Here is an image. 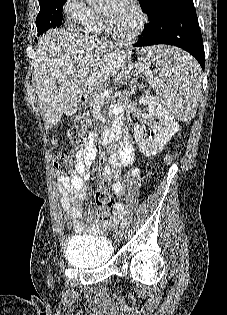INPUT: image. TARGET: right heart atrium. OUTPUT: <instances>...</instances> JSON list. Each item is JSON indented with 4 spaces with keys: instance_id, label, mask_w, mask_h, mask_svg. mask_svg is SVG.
<instances>
[{
    "instance_id": "right-heart-atrium-1",
    "label": "right heart atrium",
    "mask_w": 227,
    "mask_h": 315,
    "mask_svg": "<svg viewBox=\"0 0 227 315\" xmlns=\"http://www.w3.org/2000/svg\"><path fill=\"white\" fill-rule=\"evenodd\" d=\"M62 11L70 25L78 26L84 24L92 14V9L83 0H65Z\"/></svg>"
}]
</instances>
